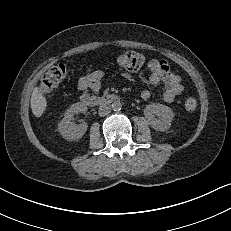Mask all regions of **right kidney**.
Listing matches in <instances>:
<instances>
[{"label": "right kidney", "instance_id": "ca27d5eb", "mask_svg": "<svg viewBox=\"0 0 231 231\" xmlns=\"http://www.w3.org/2000/svg\"><path fill=\"white\" fill-rule=\"evenodd\" d=\"M87 107L83 103H75L71 105L66 111L64 118L58 125V129L60 134L66 140H77L80 139L87 130V123H82L80 125H76L72 122L74 116L78 113L86 112Z\"/></svg>", "mask_w": 231, "mask_h": 231}]
</instances>
